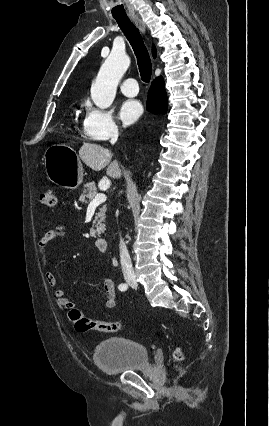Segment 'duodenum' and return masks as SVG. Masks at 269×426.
<instances>
[{"label":"duodenum","instance_id":"duodenum-1","mask_svg":"<svg viewBox=\"0 0 269 426\" xmlns=\"http://www.w3.org/2000/svg\"><path fill=\"white\" fill-rule=\"evenodd\" d=\"M96 246L97 249L100 252H107L108 251V246H109V242L106 238H98L96 240Z\"/></svg>","mask_w":269,"mask_h":426}]
</instances>
